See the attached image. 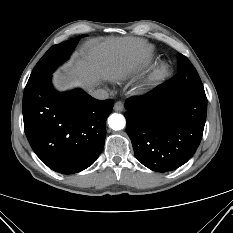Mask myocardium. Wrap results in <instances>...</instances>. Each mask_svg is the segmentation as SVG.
Listing matches in <instances>:
<instances>
[{"label":"myocardium","mask_w":233,"mask_h":233,"mask_svg":"<svg viewBox=\"0 0 233 233\" xmlns=\"http://www.w3.org/2000/svg\"><path fill=\"white\" fill-rule=\"evenodd\" d=\"M168 72V65L167 64H162L159 71H158V75L163 76Z\"/></svg>","instance_id":"1"}]
</instances>
